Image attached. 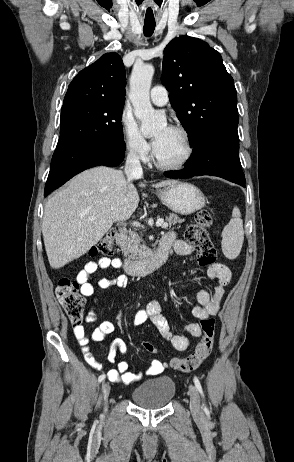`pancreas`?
Wrapping results in <instances>:
<instances>
[{
  "mask_svg": "<svg viewBox=\"0 0 294 462\" xmlns=\"http://www.w3.org/2000/svg\"><path fill=\"white\" fill-rule=\"evenodd\" d=\"M183 220L177 214H169L166 218L163 228L171 227L177 223H182ZM149 249L146 247L142 236L134 231L129 232V237L123 246L124 255L130 260H138L147 257Z\"/></svg>",
  "mask_w": 294,
  "mask_h": 462,
  "instance_id": "cf45deb5",
  "label": "pancreas"
}]
</instances>
